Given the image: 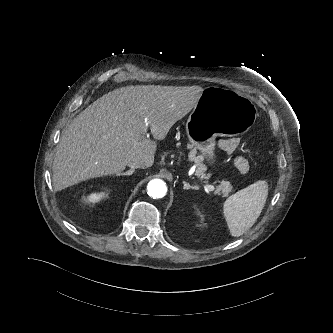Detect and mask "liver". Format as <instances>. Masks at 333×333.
<instances>
[{
	"mask_svg": "<svg viewBox=\"0 0 333 333\" xmlns=\"http://www.w3.org/2000/svg\"><path fill=\"white\" fill-rule=\"evenodd\" d=\"M203 91L200 86H127L94 101L71 122L57 146L55 190L121 173L134 159L151 167L157 144L144 137L145 122L153 138L163 140L197 106Z\"/></svg>",
	"mask_w": 333,
	"mask_h": 333,
	"instance_id": "1",
	"label": "liver"
}]
</instances>
